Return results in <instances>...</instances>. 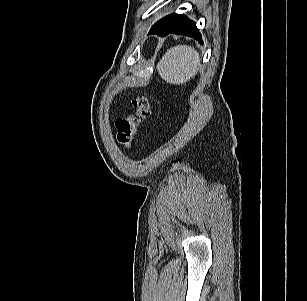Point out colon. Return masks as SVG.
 Masks as SVG:
<instances>
[{
	"mask_svg": "<svg viewBox=\"0 0 307 301\" xmlns=\"http://www.w3.org/2000/svg\"><path fill=\"white\" fill-rule=\"evenodd\" d=\"M150 103L146 96L138 95L133 100V112L127 117H119L115 121L116 138L120 145L129 148L136 136L139 126L149 118Z\"/></svg>",
	"mask_w": 307,
	"mask_h": 301,
	"instance_id": "obj_1",
	"label": "colon"
}]
</instances>
